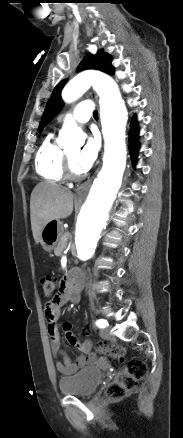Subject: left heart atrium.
<instances>
[{"instance_id":"obj_1","label":"left heart atrium","mask_w":183,"mask_h":438,"mask_svg":"<svg viewBox=\"0 0 183 438\" xmlns=\"http://www.w3.org/2000/svg\"><path fill=\"white\" fill-rule=\"evenodd\" d=\"M99 149L100 141L98 137L95 135L90 136L87 139L85 146L76 157L75 163L80 172H86L92 167L98 156Z\"/></svg>"}]
</instances>
